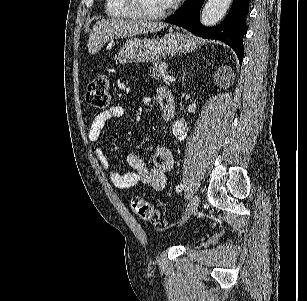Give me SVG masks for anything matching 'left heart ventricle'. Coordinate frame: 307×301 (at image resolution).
<instances>
[{
  "label": "left heart ventricle",
  "instance_id": "left-heart-ventricle-1",
  "mask_svg": "<svg viewBox=\"0 0 307 301\" xmlns=\"http://www.w3.org/2000/svg\"><path fill=\"white\" fill-rule=\"evenodd\" d=\"M145 3L148 5V8L146 6H142V13H155L156 11H159L161 6L164 4V0H145Z\"/></svg>",
  "mask_w": 307,
  "mask_h": 301
}]
</instances>
